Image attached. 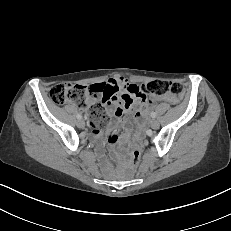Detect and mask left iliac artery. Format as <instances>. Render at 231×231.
I'll return each instance as SVG.
<instances>
[{"mask_svg":"<svg viewBox=\"0 0 231 231\" xmlns=\"http://www.w3.org/2000/svg\"><path fill=\"white\" fill-rule=\"evenodd\" d=\"M151 117H152V118H155V117H156V113H155V112H152V113H151Z\"/></svg>","mask_w":231,"mask_h":231,"instance_id":"left-iliac-artery-1","label":"left iliac artery"}]
</instances>
